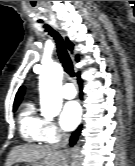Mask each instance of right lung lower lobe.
I'll use <instances>...</instances> for the list:
<instances>
[{
  "label": "right lung lower lobe",
  "instance_id": "98d812e1",
  "mask_svg": "<svg viewBox=\"0 0 135 166\" xmlns=\"http://www.w3.org/2000/svg\"><path fill=\"white\" fill-rule=\"evenodd\" d=\"M77 77H78V84H79V87H80V90H81V92H80V98H82V95H83V92H82V88H83V87H82V83H83V81H82V79H81V77H80V72L77 73ZM80 131H81V127H79V128L72 134L71 139H70V144H71V146H73V145L75 144V142L77 141Z\"/></svg>",
  "mask_w": 135,
  "mask_h": 166
}]
</instances>
